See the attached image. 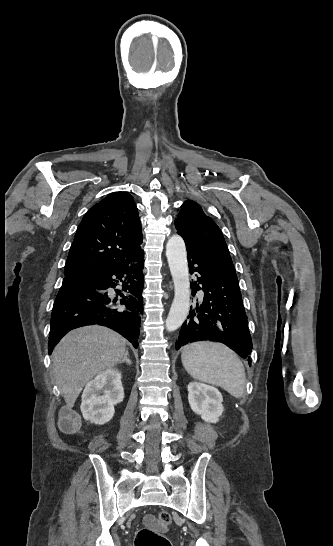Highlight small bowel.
<instances>
[{
	"label": "small bowel",
	"instance_id": "small-bowel-1",
	"mask_svg": "<svg viewBox=\"0 0 333 546\" xmlns=\"http://www.w3.org/2000/svg\"><path fill=\"white\" fill-rule=\"evenodd\" d=\"M76 421V418L73 416H66L59 420L58 426L59 429L64 433H70L74 430L73 423Z\"/></svg>",
	"mask_w": 333,
	"mask_h": 546
}]
</instances>
